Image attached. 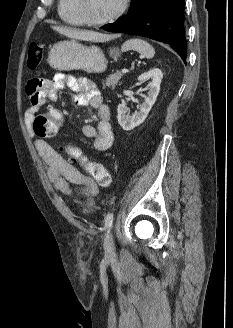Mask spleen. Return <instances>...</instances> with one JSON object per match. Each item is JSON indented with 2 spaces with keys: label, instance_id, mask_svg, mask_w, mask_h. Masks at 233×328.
<instances>
[{
  "label": "spleen",
  "instance_id": "1",
  "mask_svg": "<svg viewBox=\"0 0 233 328\" xmlns=\"http://www.w3.org/2000/svg\"><path fill=\"white\" fill-rule=\"evenodd\" d=\"M123 52L134 50L138 52L143 58H152L155 54V50L148 42L142 39H129L125 41L121 47Z\"/></svg>",
  "mask_w": 233,
  "mask_h": 328
}]
</instances>
